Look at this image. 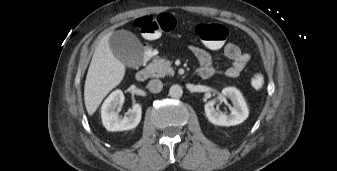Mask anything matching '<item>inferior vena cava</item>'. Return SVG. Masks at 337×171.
<instances>
[{"instance_id":"inferior-vena-cava-1","label":"inferior vena cava","mask_w":337,"mask_h":171,"mask_svg":"<svg viewBox=\"0 0 337 171\" xmlns=\"http://www.w3.org/2000/svg\"><path fill=\"white\" fill-rule=\"evenodd\" d=\"M147 88L152 93H159L163 88V83L159 79H152L148 82Z\"/></svg>"}]
</instances>
